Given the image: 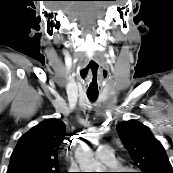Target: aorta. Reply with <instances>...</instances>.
I'll return each mask as SVG.
<instances>
[{"mask_svg": "<svg viewBox=\"0 0 173 173\" xmlns=\"http://www.w3.org/2000/svg\"><path fill=\"white\" fill-rule=\"evenodd\" d=\"M88 139L90 142L97 144L99 137L96 134H92ZM76 159L82 172H101L102 170L101 164L94 159L93 153L89 149L78 150Z\"/></svg>", "mask_w": 173, "mask_h": 173, "instance_id": "1", "label": "aorta"}]
</instances>
